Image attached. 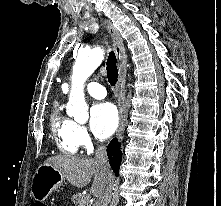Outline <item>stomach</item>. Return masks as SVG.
Segmentation results:
<instances>
[{
	"label": "stomach",
	"mask_w": 221,
	"mask_h": 206,
	"mask_svg": "<svg viewBox=\"0 0 221 206\" xmlns=\"http://www.w3.org/2000/svg\"><path fill=\"white\" fill-rule=\"evenodd\" d=\"M65 177L61 171L46 163L42 164L35 172L31 194L37 201H44L53 191L60 188Z\"/></svg>",
	"instance_id": "0dacf381"
}]
</instances>
